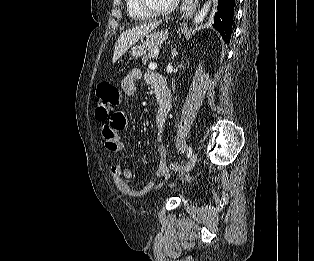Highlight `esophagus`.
Returning a JSON list of instances; mask_svg holds the SVG:
<instances>
[{"instance_id": "34e87169", "label": "esophagus", "mask_w": 314, "mask_h": 261, "mask_svg": "<svg viewBox=\"0 0 314 261\" xmlns=\"http://www.w3.org/2000/svg\"><path fill=\"white\" fill-rule=\"evenodd\" d=\"M198 5V0H185L182 10L186 16H191Z\"/></svg>"}]
</instances>
